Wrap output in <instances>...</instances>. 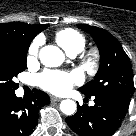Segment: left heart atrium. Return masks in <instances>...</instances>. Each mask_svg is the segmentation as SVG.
Instances as JSON below:
<instances>
[{"label":"left heart atrium","instance_id":"obj_1","mask_svg":"<svg viewBox=\"0 0 136 136\" xmlns=\"http://www.w3.org/2000/svg\"><path fill=\"white\" fill-rule=\"evenodd\" d=\"M82 81L81 75L76 72H63L55 70H47L38 76V84L46 91L62 94L67 92L73 84Z\"/></svg>","mask_w":136,"mask_h":136}]
</instances>
